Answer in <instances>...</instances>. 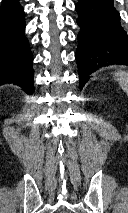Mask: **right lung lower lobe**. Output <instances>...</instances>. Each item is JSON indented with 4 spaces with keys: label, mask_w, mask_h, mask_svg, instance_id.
Masks as SVG:
<instances>
[{
    "label": "right lung lower lobe",
    "mask_w": 128,
    "mask_h": 213,
    "mask_svg": "<svg viewBox=\"0 0 128 213\" xmlns=\"http://www.w3.org/2000/svg\"><path fill=\"white\" fill-rule=\"evenodd\" d=\"M24 29V10L18 0H3L0 7V85L13 83L33 93V55Z\"/></svg>",
    "instance_id": "obj_1"
}]
</instances>
